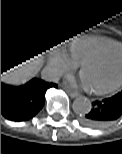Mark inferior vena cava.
Listing matches in <instances>:
<instances>
[{"label":"inferior vena cava","mask_w":122,"mask_h":154,"mask_svg":"<svg viewBox=\"0 0 122 154\" xmlns=\"http://www.w3.org/2000/svg\"><path fill=\"white\" fill-rule=\"evenodd\" d=\"M42 79L50 82L58 81L59 76L58 73L55 70L49 69V68H43L41 72Z\"/></svg>","instance_id":"602c4592"}]
</instances>
